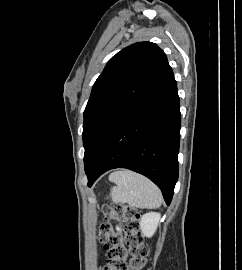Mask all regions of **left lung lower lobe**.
Segmentation results:
<instances>
[{
	"mask_svg": "<svg viewBox=\"0 0 242 270\" xmlns=\"http://www.w3.org/2000/svg\"><path fill=\"white\" fill-rule=\"evenodd\" d=\"M181 114L172 69L113 128L85 171L88 186L104 172L127 168L152 180L169 205L178 179Z\"/></svg>",
	"mask_w": 242,
	"mask_h": 270,
	"instance_id": "left-lung-lower-lobe-1",
	"label": "left lung lower lobe"
}]
</instances>
